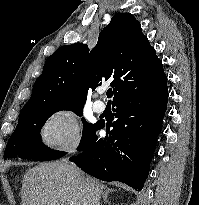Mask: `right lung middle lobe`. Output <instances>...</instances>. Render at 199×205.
<instances>
[{
	"mask_svg": "<svg viewBox=\"0 0 199 205\" xmlns=\"http://www.w3.org/2000/svg\"><path fill=\"white\" fill-rule=\"evenodd\" d=\"M84 104L58 101L27 103L20 111L18 125L11 135L4 152V158L18 156L22 159L50 161L59 159L66 153L51 150L42 143L40 131L46 120L57 111L71 110L78 116L83 115ZM83 134L77 150H81L94 133L98 122L90 124L82 118Z\"/></svg>",
	"mask_w": 199,
	"mask_h": 205,
	"instance_id": "right-lung-middle-lobe-1",
	"label": "right lung middle lobe"
}]
</instances>
